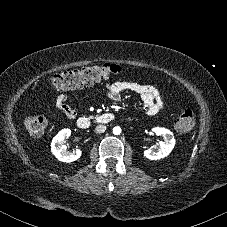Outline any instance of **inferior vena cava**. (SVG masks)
<instances>
[{
    "label": "inferior vena cava",
    "instance_id": "inferior-vena-cava-1",
    "mask_svg": "<svg viewBox=\"0 0 227 227\" xmlns=\"http://www.w3.org/2000/svg\"><path fill=\"white\" fill-rule=\"evenodd\" d=\"M106 130V126L105 125H97L95 128V132L96 133H103Z\"/></svg>",
    "mask_w": 227,
    "mask_h": 227
}]
</instances>
